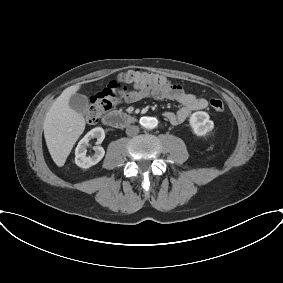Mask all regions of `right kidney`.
<instances>
[{
  "mask_svg": "<svg viewBox=\"0 0 283 283\" xmlns=\"http://www.w3.org/2000/svg\"><path fill=\"white\" fill-rule=\"evenodd\" d=\"M97 139V144H101L105 138L104 129L101 127H96L90 130L78 143L75 149V163L81 168H90L96 165L104 157L105 151L103 147L97 146L95 148V153L92 156H87V146L91 139Z\"/></svg>",
  "mask_w": 283,
  "mask_h": 283,
  "instance_id": "right-kidney-1",
  "label": "right kidney"
}]
</instances>
